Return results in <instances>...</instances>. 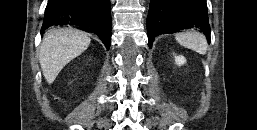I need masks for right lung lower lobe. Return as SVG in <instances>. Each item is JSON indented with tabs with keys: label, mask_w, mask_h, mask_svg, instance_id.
<instances>
[{
	"label": "right lung lower lobe",
	"mask_w": 257,
	"mask_h": 130,
	"mask_svg": "<svg viewBox=\"0 0 257 130\" xmlns=\"http://www.w3.org/2000/svg\"><path fill=\"white\" fill-rule=\"evenodd\" d=\"M74 25L111 44L110 0H48L41 32L51 26Z\"/></svg>",
	"instance_id": "98d812e1"
}]
</instances>
